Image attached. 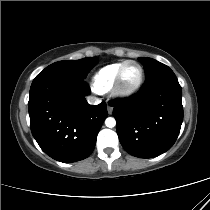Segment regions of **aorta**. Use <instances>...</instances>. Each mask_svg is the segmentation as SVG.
<instances>
[{
  "label": "aorta",
  "instance_id": "762f6f07",
  "mask_svg": "<svg viewBox=\"0 0 210 210\" xmlns=\"http://www.w3.org/2000/svg\"><path fill=\"white\" fill-rule=\"evenodd\" d=\"M105 124H106L107 127L113 128L116 125V120L114 118H112V117H108L105 120Z\"/></svg>",
  "mask_w": 210,
  "mask_h": 210
}]
</instances>
